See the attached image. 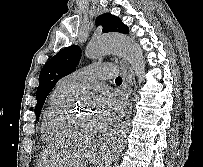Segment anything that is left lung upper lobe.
Wrapping results in <instances>:
<instances>
[{"instance_id": "5c2ea615", "label": "left lung upper lobe", "mask_w": 203, "mask_h": 167, "mask_svg": "<svg viewBox=\"0 0 203 167\" xmlns=\"http://www.w3.org/2000/svg\"><path fill=\"white\" fill-rule=\"evenodd\" d=\"M97 25L103 26V32L129 33V28L122 23L121 19L105 13L96 19ZM81 59V50L72 45L59 51L42 68L39 76V86L36 92L37 104L35 106L36 118L41 113V108L46 97L62 77L74 72Z\"/></svg>"}]
</instances>
